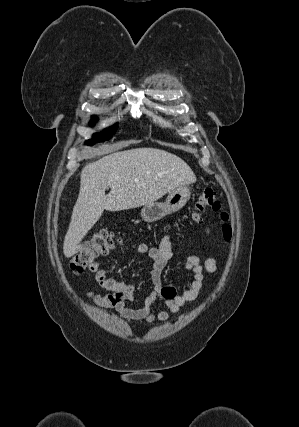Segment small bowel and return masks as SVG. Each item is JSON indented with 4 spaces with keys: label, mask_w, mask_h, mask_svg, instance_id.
<instances>
[{
    "label": "small bowel",
    "mask_w": 299,
    "mask_h": 427,
    "mask_svg": "<svg viewBox=\"0 0 299 427\" xmlns=\"http://www.w3.org/2000/svg\"><path fill=\"white\" fill-rule=\"evenodd\" d=\"M139 254L147 255L150 260L149 276L153 289L148 293L141 307H129L128 302L134 300L136 282L119 281L108 276L107 270L100 267L98 262L90 266L96 283L109 294L99 295L87 289V296L98 306L114 309L124 319L152 323L156 320L165 321L171 313H178L188 303L197 300L203 288L204 274L214 273L217 269V260L214 257L202 261L196 255L188 256L184 261V269L193 274L190 287L182 293H177L175 287L164 284L162 274L167 261L172 255L170 236L164 235L156 246L150 247L146 243L137 245ZM162 301L168 310H157L155 304Z\"/></svg>",
    "instance_id": "small-bowel-1"
}]
</instances>
